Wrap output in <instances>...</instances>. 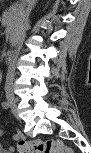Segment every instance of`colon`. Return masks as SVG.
Instances as JSON below:
<instances>
[{"label":"colon","instance_id":"1","mask_svg":"<svg viewBox=\"0 0 91 153\" xmlns=\"http://www.w3.org/2000/svg\"><path fill=\"white\" fill-rule=\"evenodd\" d=\"M15 148L19 153H72V150L59 139H35L32 141L18 139Z\"/></svg>","mask_w":91,"mask_h":153}]
</instances>
